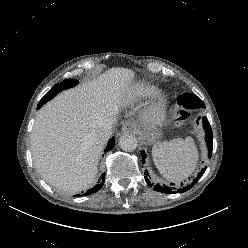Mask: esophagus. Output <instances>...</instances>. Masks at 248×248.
I'll use <instances>...</instances> for the list:
<instances>
[{
    "mask_svg": "<svg viewBox=\"0 0 248 248\" xmlns=\"http://www.w3.org/2000/svg\"><path fill=\"white\" fill-rule=\"evenodd\" d=\"M133 128H134V126H133L132 123L126 122V123H124V124L122 125V127H121V132H122V133H131V132L133 131Z\"/></svg>",
    "mask_w": 248,
    "mask_h": 248,
    "instance_id": "34e87169",
    "label": "esophagus"
}]
</instances>
